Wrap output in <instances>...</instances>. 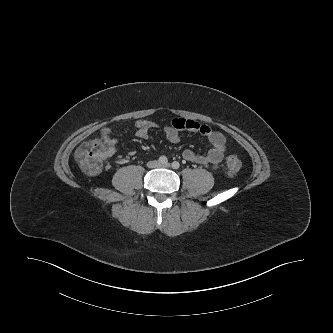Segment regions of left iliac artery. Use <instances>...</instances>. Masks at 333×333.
<instances>
[{
	"label": "left iliac artery",
	"instance_id": "44dca946",
	"mask_svg": "<svg viewBox=\"0 0 333 333\" xmlns=\"http://www.w3.org/2000/svg\"><path fill=\"white\" fill-rule=\"evenodd\" d=\"M179 167H180L179 162L174 161V162L172 163V168H173V169H178Z\"/></svg>",
	"mask_w": 333,
	"mask_h": 333
}]
</instances>
